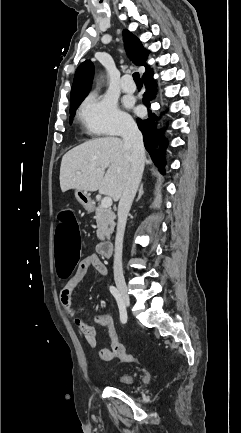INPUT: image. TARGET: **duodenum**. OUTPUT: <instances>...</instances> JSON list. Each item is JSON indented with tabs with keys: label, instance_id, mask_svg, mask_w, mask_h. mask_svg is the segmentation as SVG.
Segmentation results:
<instances>
[{
	"label": "duodenum",
	"instance_id": "obj_1",
	"mask_svg": "<svg viewBox=\"0 0 241 433\" xmlns=\"http://www.w3.org/2000/svg\"><path fill=\"white\" fill-rule=\"evenodd\" d=\"M113 251V244L110 241L101 242L98 245V252L105 258H110Z\"/></svg>",
	"mask_w": 241,
	"mask_h": 433
}]
</instances>
